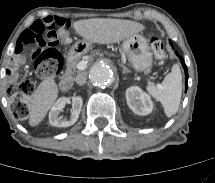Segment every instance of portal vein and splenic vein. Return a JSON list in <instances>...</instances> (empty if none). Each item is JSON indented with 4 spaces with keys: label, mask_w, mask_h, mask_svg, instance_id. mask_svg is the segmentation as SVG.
Returning <instances> with one entry per match:
<instances>
[{
    "label": "portal vein and splenic vein",
    "mask_w": 215,
    "mask_h": 183,
    "mask_svg": "<svg viewBox=\"0 0 215 183\" xmlns=\"http://www.w3.org/2000/svg\"><path fill=\"white\" fill-rule=\"evenodd\" d=\"M87 67V62L82 60L80 61L78 64H77V69L82 71V70H85Z\"/></svg>",
    "instance_id": "portal-vein-and-splenic-vein-1"
}]
</instances>
